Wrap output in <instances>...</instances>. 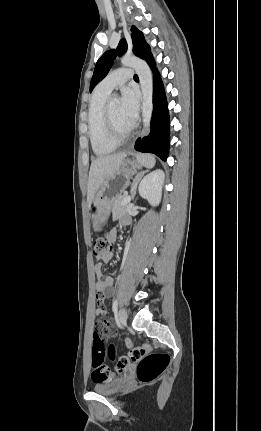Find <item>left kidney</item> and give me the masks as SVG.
<instances>
[{
	"label": "left kidney",
	"mask_w": 261,
	"mask_h": 431,
	"mask_svg": "<svg viewBox=\"0 0 261 431\" xmlns=\"http://www.w3.org/2000/svg\"><path fill=\"white\" fill-rule=\"evenodd\" d=\"M164 172L160 169L146 175L139 185V194L152 206L159 205L162 196Z\"/></svg>",
	"instance_id": "5707ae66"
}]
</instances>
